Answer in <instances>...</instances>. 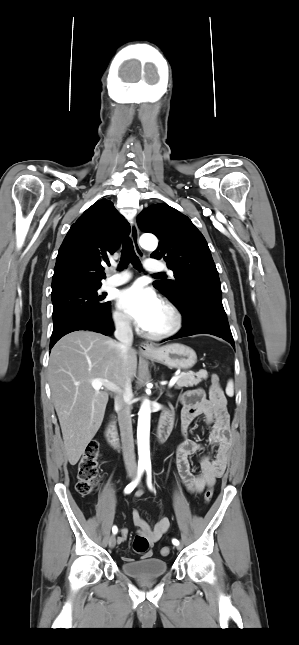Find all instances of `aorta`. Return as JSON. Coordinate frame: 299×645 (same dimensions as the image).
Wrapping results in <instances>:
<instances>
[{
	"label": "aorta",
	"instance_id": "aorta-1",
	"mask_svg": "<svg viewBox=\"0 0 299 645\" xmlns=\"http://www.w3.org/2000/svg\"><path fill=\"white\" fill-rule=\"evenodd\" d=\"M140 244L146 250H155L157 248L158 241L153 235H143L140 238ZM150 414L149 402L145 400L138 413L137 444L139 464L150 463Z\"/></svg>",
	"mask_w": 299,
	"mask_h": 645
}]
</instances>
